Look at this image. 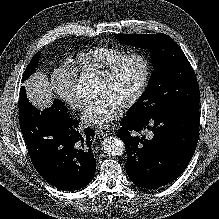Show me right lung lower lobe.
Masks as SVG:
<instances>
[{
  "instance_id": "obj_1",
  "label": "right lung lower lobe",
  "mask_w": 219,
  "mask_h": 219,
  "mask_svg": "<svg viewBox=\"0 0 219 219\" xmlns=\"http://www.w3.org/2000/svg\"><path fill=\"white\" fill-rule=\"evenodd\" d=\"M19 124L35 169L51 185L73 191L93 179L96 160L91 152L94 130L79 129V121L56 105L40 112L20 89Z\"/></svg>"
}]
</instances>
